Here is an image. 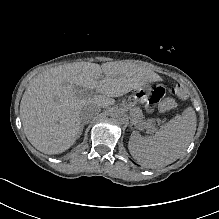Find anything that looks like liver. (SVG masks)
I'll list each match as a JSON object with an SVG mask.
<instances>
[{"instance_id": "liver-1", "label": "liver", "mask_w": 219, "mask_h": 219, "mask_svg": "<svg viewBox=\"0 0 219 219\" xmlns=\"http://www.w3.org/2000/svg\"><path fill=\"white\" fill-rule=\"evenodd\" d=\"M149 81L147 69L130 63H71L44 70L21 100L26 138L45 154L64 152L78 137L82 118L96 117L101 108L111 105L110 97L122 96ZM75 86L83 89V98L74 96ZM94 89L100 94L86 95Z\"/></svg>"}]
</instances>
